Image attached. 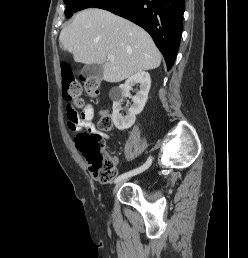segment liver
I'll use <instances>...</instances> for the list:
<instances>
[{
  "label": "liver",
  "mask_w": 248,
  "mask_h": 258,
  "mask_svg": "<svg viewBox=\"0 0 248 258\" xmlns=\"http://www.w3.org/2000/svg\"><path fill=\"white\" fill-rule=\"evenodd\" d=\"M59 41L75 62L102 64L103 79L111 83L155 69L161 63V54L144 29L102 9L79 12L62 29ZM108 55H114L115 61H107Z\"/></svg>",
  "instance_id": "6515ba94"
}]
</instances>
